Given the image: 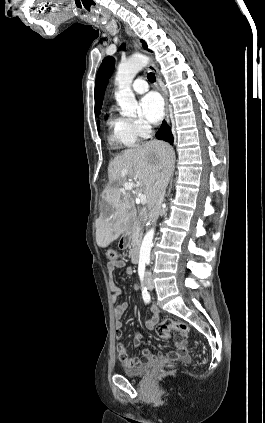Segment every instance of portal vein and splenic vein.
Segmentation results:
<instances>
[{
    "label": "portal vein and splenic vein",
    "mask_w": 265,
    "mask_h": 423,
    "mask_svg": "<svg viewBox=\"0 0 265 423\" xmlns=\"http://www.w3.org/2000/svg\"><path fill=\"white\" fill-rule=\"evenodd\" d=\"M138 187H139L138 183H135L133 181H129L125 184L123 190H131L133 188H138ZM138 200H139V203H141L142 205H145L147 203V197H146V195H144L142 193H140L138 195Z\"/></svg>",
    "instance_id": "portal-vein-and-splenic-vein-1"
}]
</instances>
